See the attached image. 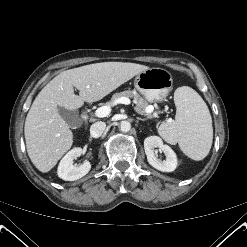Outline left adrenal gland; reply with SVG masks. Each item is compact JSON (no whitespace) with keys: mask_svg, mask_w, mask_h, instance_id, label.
<instances>
[{"mask_svg":"<svg viewBox=\"0 0 247 247\" xmlns=\"http://www.w3.org/2000/svg\"><path fill=\"white\" fill-rule=\"evenodd\" d=\"M139 120H141V121H146L147 119H145V118H137V122L139 121Z\"/></svg>","mask_w":247,"mask_h":247,"instance_id":"1","label":"left adrenal gland"}]
</instances>
